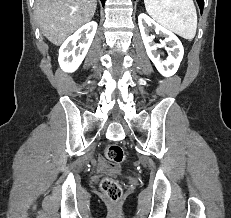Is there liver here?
<instances>
[{
  "label": "liver",
  "mask_w": 231,
  "mask_h": 218,
  "mask_svg": "<svg viewBox=\"0 0 231 218\" xmlns=\"http://www.w3.org/2000/svg\"><path fill=\"white\" fill-rule=\"evenodd\" d=\"M97 0H36L35 13L43 35L61 45L72 33L89 22Z\"/></svg>",
  "instance_id": "obj_1"
}]
</instances>
